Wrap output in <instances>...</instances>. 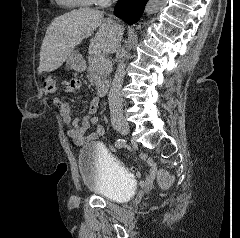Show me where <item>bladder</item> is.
<instances>
[{"label":"bladder","instance_id":"bladder-1","mask_svg":"<svg viewBox=\"0 0 240 238\" xmlns=\"http://www.w3.org/2000/svg\"><path fill=\"white\" fill-rule=\"evenodd\" d=\"M78 168L83 185L107 200L125 202L135 193L129 171L99 144L88 143L81 148Z\"/></svg>","mask_w":240,"mask_h":238}]
</instances>
